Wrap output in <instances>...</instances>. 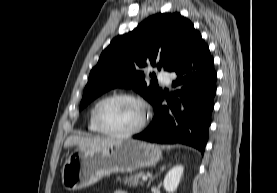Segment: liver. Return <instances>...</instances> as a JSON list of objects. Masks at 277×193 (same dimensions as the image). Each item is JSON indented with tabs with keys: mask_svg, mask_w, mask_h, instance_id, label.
I'll use <instances>...</instances> for the list:
<instances>
[{
	"mask_svg": "<svg viewBox=\"0 0 277 193\" xmlns=\"http://www.w3.org/2000/svg\"><path fill=\"white\" fill-rule=\"evenodd\" d=\"M117 141L113 138L70 136L66 139L64 148L76 145L80 148L101 149L109 147Z\"/></svg>",
	"mask_w": 277,
	"mask_h": 193,
	"instance_id": "obj_1",
	"label": "liver"
}]
</instances>
